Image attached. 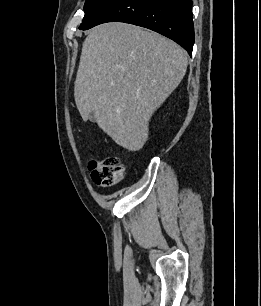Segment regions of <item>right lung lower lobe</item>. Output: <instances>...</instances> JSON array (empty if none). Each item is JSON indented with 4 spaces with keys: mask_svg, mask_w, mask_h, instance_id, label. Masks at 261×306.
Here are the masks:
<instances>
[{
    "mask_svg": "<svg viewBox=\"0 0 261 306\" xmlns=\"http://www.w3.org/2000/svg\"><path fill=\"white\" fill-rule=\"evenodd\" d=\"M106 22H124L156 31L192 55V0H114L83 30Z\"/></svg>",
    "mask_w": 261,
    "mask_h": 306,
    "instance_id": "1",
    "label": "right lung lower lobe"
}]
</instances>
